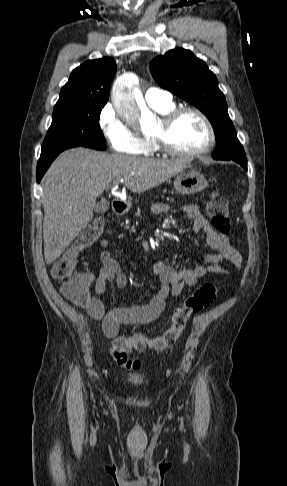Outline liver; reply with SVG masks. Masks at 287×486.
Here are the masks:
<instances>
[{"mask_svg": "<svg viewBox=\"0 0 287 486\" xmlns=\"http://www.w3.org/2000/svg\"><path fill=\"white\" fill-rule=\"evenodd\" d=\"M184 159L155 160L85 148L62 152L42 179L44 257L51 264L93 218L96 198L112 183L141 193L182 172Z\"/></svg>", "mask_w": 287, "mask_h": 486, "instance_id": "obj_1", "label": "liver"}]
</instances>
